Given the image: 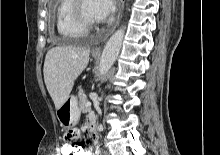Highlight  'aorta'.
<instances>
[{
    "label": "aorta",
    "instance_id": "obj_1",
    "mask_svg": "<svg viewBox=\"0 0 220 155\" xmlns=\"http://www.w3.org/2000/svg\"><path fill=\"white\" fill-rule=\"evenodd\" d=\"M124 28L118 29L106 43L99 63V76L103 77L114 64L124 39Z\"/></svg>",
    "mask_w": 220,
    "mask_h": 155
}]
</instances>
